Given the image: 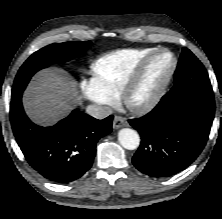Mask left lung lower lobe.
<instances>
[{
    "instance_id": "left-lung-lower-lobe-1",
    "label": "left lung lower lobe",
    "mask_w": 222,
    "mask_h": 219,
    "mask_svg": "<svg viewBox=\"0 0 222 219\" xmlns=\"http://www.w3.org/2000/svg\"><path fill=\"white\" fill-rule=\"evenodd\" d=\"M214 113L213 93L172 88L151 112L128 120L142 139L132 158L134 166L152 177L184 170L203 150Z\"/></svg>"
}]
</instances>
